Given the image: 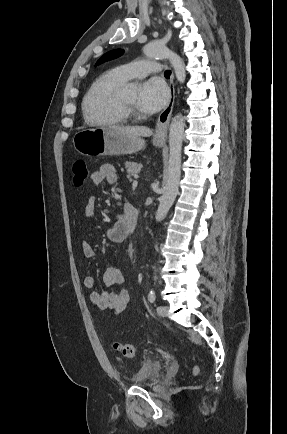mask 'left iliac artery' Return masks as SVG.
Listing matches in <instances>:
<instances>
[{
	"label": "left iliac artery",
	"mask_w": 287,
	"mask_h": 434,
	"mask_svg": "<svg viewBox=\"0 0 287 434\" xmlns=\"http://www.w3.org/2000/svg\"><path fill=\"white\" fill-rule=\"evenodd\" d=\"M156 279V277H154V280ZM148 300L151 302V303H154L155 302V300H156V295H155V291L154 290H151L150 292H149V294H148Z\"/></svg>",
	"instance_id": "1"
}]
</instances>
